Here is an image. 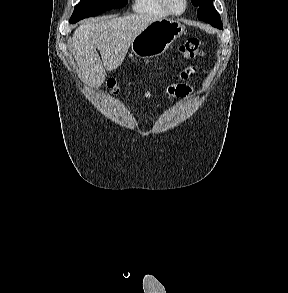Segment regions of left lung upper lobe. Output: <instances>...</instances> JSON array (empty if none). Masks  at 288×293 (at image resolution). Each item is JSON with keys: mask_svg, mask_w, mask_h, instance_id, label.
<instances>
[{"mask_svg": "<svg viewBox=\"0 0 288 293\" xmlns=\"http://www.w3.org/2000/svg\"><path fill=\"white\" fill-rule=\"evenodd\" d=\"M192 4L198 8V19L205 21L212 26L222 29L220 15L213 6V0H191Z\"/></svg>", "mask_w": 288, "mask_h": 293, "instance_id": "obj_1", "label": "left lung upper lobe"}]
</instances>
